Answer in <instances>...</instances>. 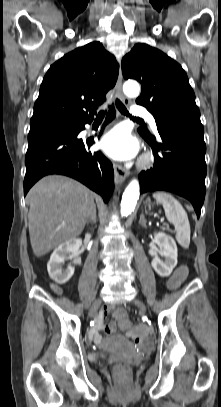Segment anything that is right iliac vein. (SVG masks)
Wrapping results in <instances>:
<instances>
[{"instance_id":"1","label":"right iliac vein","mask_w":221,"mask_h":407,"mask_svg":"<svg viewBox=\"0 0 221 407\" xmlns=\"http://www.w3.org/2000/svg\"><path fill=\"white\" fill-rule=\"evenodd\" d=\"M100 304H101V300H100V299H97V300L94 302V304H93V306H92V309H91V315L94 314V313L97 311V309L99 308Z\"/></svg>"}]
</instances>
